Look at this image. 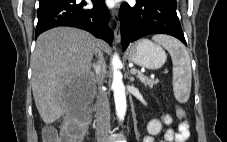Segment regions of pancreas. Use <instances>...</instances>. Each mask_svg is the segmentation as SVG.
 I'll return each mask as SVG.
<instances>
[{
	"label": "pancreas",
	"mask_w": 227,
	"mask_h": 142,
	"mask_svg": "<svg viewBox=\"0 0 227 142\" xmlns=\"http://www.w3.org/2000/svg\"><path fill=\"white\" fill-rule=\"evenodd\" d=\"M137 77L139 78V80H140L145 86L153 87L155 84L158 83V80H157V79L148 78L147 76H145V75H143V74H138Z\"/></svg>",
	"instance_id": "obj_1"
}]
</instances>
